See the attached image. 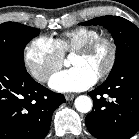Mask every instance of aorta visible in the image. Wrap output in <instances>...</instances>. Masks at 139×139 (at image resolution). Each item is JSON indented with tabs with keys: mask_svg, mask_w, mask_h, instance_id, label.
<instances>
[{
	"mask_svg": "<svg viewBox=\"0 0 139 139\" xmlns=\"http://www.w3.org/2000/svg\"><path fill=\"white\" fill-rule=\"evenodd\" d=\"M75 108L81 113H88L91 111L93 103L90 97L81 95L75 99Z\"/></svg>",
	"mask_w": 139,
	"mask_h": 139,
	"instance_id": "aorta-1",
	"label": "aorta"
}]
</instances>
